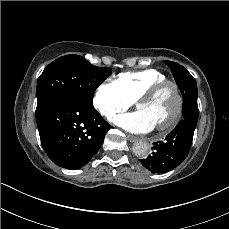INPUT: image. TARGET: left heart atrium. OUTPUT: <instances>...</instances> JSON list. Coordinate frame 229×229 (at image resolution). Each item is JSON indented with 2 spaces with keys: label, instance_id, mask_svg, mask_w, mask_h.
Returning a JSON list of instances; mask_svg holds the SVG:
<instances>
[{
  "label": "left heart atrium",
  "instance_id": "left-heart-atrium-1",
  "mask_svg": "<svg viewBox=\"0 0 229 229\" xmlns=\"http://www.w3.org/2000/svg\"><path fill=\"white\" fill-rule=\"evenodd\" d=\"M113 123L135 133H146L154 128L152 121L142 111L122 114L113 118Z\"/></svg>",
  "mask_w": 229,
  "mask_h": 229
}]
</instances>
